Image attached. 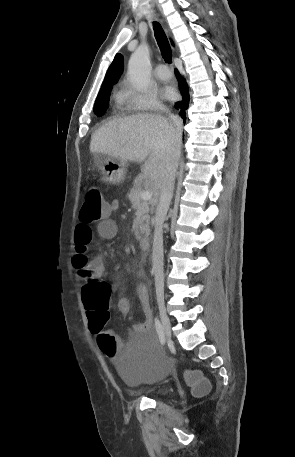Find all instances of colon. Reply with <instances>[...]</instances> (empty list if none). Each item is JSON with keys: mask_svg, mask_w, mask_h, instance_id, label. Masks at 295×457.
I'll list each match as a JSON object with an SVG mask.
<instances>
[{"mask_svg": "<svg viewBox=\"0 0 295 457\" xmlns=\"http://www.w3.org/2000/svg\"><path fill=\"white\" fill-rule=\"evenodd\" d=\"M108 215V203L104 200L101 189L96 185L90 186L79 211L80 224L90 227ZM72 263L79 275L86 280L82 290V302L86 309L90 329L97 337L102 359H112L114 362L126 361L127 345L121 341V333H111L107 329L111 292L109 285L92 278V274L88 270L89 259L85 251L77 250ZM185 373L187 374V382L191 383V390H194L195 394L200 395L208 390V381H200V375L197 371L194 374H189L190 372L187 370Z\"/></svg>", "mask_w": 295, "mask_h": 457, "instance_id": "5ec220e1", "label": "colon"}]
</instances>
